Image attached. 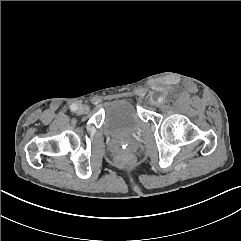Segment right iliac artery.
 Returning <instances> with one entry per match:
<instances>
[{"instance_id":"1","label":"right iliac artery","mask_w":241,"mask_h":241,"mask_svg":"<svg viewBox=\"0 0 241 241\" xmlns=\"http://www.w3.org/2000/svg\"><path fill=\"white\" fill-rule=\"evenodd\" d=\"M77 105L76 104H72L71 106H70V109L72 110V111H76L77 110Z\"/></svg>"}]
</instances>
